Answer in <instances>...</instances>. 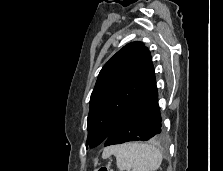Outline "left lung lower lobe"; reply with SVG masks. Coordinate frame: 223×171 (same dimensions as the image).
Listing matches in <instances>:
<instances>
[{"label": "left lung lower lobe", "instance_id": "1", "mask_svg": "<svg viewBox=\"0 0 223 171\" xmlns=\"http://www.w3.org/2000/svg\"><path fill=\"white\" fill-rule=\"evenodd\" d=\"M163 134L156 79L153 72L142 91L110 132L104 146L129 141L159 139L163 137Z\"/></svg>", "mask_w": 223, "mask_h": 171}]
</instances>
